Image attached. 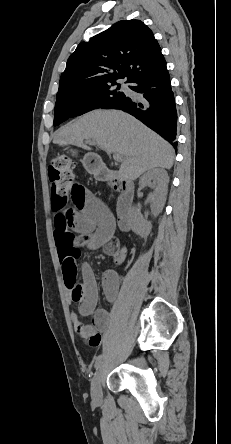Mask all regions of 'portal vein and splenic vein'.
<instances>
[{"instance_id":"portal-vein-and-splenic-vein-1","label":"portal vein and splenic vein","mask_w":231,"mask_h":444,"mask_svg":"<svg viewBox=\"0 0 231 444\" xmlns=\"http://www.w3.org/2000/svg\"><path fill=\"white\" fill-rule=\"evenodd\" d=\"M87 143H90V144H96V142L93 141V140H87ZM113 158H114V160H115L116 162H120V161H122V157L120 156V154H114V155H113Z\"/></svg>"}]
</instances>
